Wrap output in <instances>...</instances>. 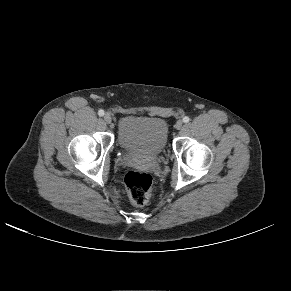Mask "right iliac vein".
I'll list each match as a JSON object with an SVG mask.
<instances>
[{
	"instance_id": "obj_1",
	"label": "right iliac vein",
	"mask_w": 291,
	"mask_h": 291,
	"mask_svg": "<svg viewBox=\"0 0 291 291\" xmlns=\"http://www.w3.org/2000/svg\"><path fill=\"white\" fill-rule=\"evenodd\" d=\"M111 121H112V119H111L110 114L106 113V114L104 115V122H105L106 124H110Z\"/></svg>"
}]
</instances>
